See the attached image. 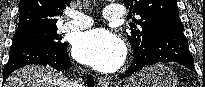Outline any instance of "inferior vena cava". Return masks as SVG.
<instances>
[{"label":"inferior vena cava","instance_id":"inferior-vena-cava-1","mask_svg":"<svg viewBox=\"0 0 205 87\" xmlns=\"http://www.w3.org/2000/svg\"><path fill=\"white\" fill-rule=\"evenodd\" d=\"M69 87H82V79H79L78 82H74V83H69L68 85Z\"/></svg>","mask_w":205,"mask_h":87}]
</instances>
